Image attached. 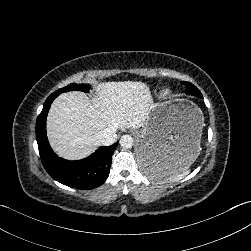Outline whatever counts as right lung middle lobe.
I'll list each match as a JSON object with an SVG mask.
<instances>
[{
	"instance_id": "obj_1",
	"label": "right lung middle lobe",
	"mask_w": 251,
	"mask_h": 251,
	"mask_svg": "<svg viewBox=\"0 0 251 251\" xmlns=\"http://www.w3.org/2000/svg\"><path fill=\"white\" fill-rule=\"evenodd\" d=\"M89 89H90V87L88 85H86V84L72 83V84H69L68 86H66V87H64L62 89L57 90L56 93L59 95V94H61L63 92H68V91H72V90H79V91L88 93Z\"/></svg>"
}]
</instances>
